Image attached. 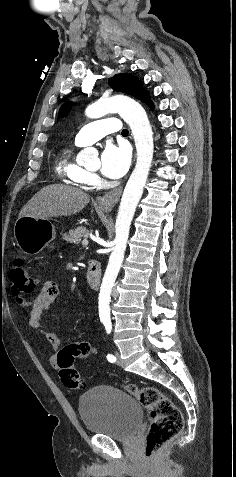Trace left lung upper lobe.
<instances>
[{"label": "left lung upper lobe", "instance_id": "5c2ea615", "mask_svg": "<svg viewBox=\"0 0 236 477\" xmlns=\"http://www.w3.org/2000/svg\"><path fill=\"white\" fill-rule=\"evenodd\" d=\"M109 85L118 92L131 95L147 105L150 103L149 92L142 87V83L136 77L125 74H116L109 78ZM69 110V103H66L61 108V114L65 115Z\"/></svg>", "mask_w": 236, "mask_h": 477}]
</instances>
